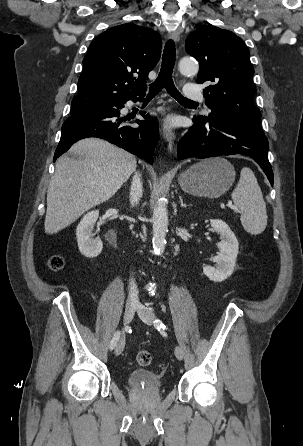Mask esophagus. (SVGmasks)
<instances>
[{"label":"esophagus","mask_w":303,"mask_h":446,"mask_svg":"<svg viewBox=\"0 0 303 446\" xmlns=\"http://www.w3.org/2000/svg\"><path fill=\"white\" fill-rule=\"evenodd\" d=\"M170 38L175 42H179L180 40V34L178 31H174L170 34ZM162 135L164 139L168 142V148L171 151L173 149L174 140H175V133L172 130V128L168 124H164L162 129Z\"/></svg>","instance_id":"1"}]
</instances>
